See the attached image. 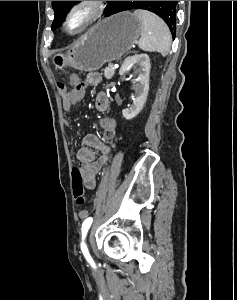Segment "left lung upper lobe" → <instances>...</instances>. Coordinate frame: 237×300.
Returning <instances> with one entry per match:
<instances>
[{
  "mask_svg": "<svg viewBox=\"0 0 237 300\" xmlns=\"http://www.w3.org/2000/svg\"><path fill=\"white\" fill-rule=\"evenodd\" d=\"M77 1H52L55 18L52 29L57 28L65 19L68 10ZM108 9L105 15H109L111 8L117 3V12L145 9L160 16L168 25L172 35L176 32V5L178 1H107Z\"/></svg>",
  "mask_w": 237,
  "mask_h": 300,
  "instance_id": "5c2ea615",
  "label": "left lung upper lobe"
}]
</instances>
